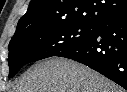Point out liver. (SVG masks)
<instances>
[{
    "label": "liver",
    "instance_id": "liver-1",
    "mask_svg": "<svg viewBox=\"0 0 127 92\" xmlns=\"http://www.w3.org/2000/svg\"><path fill=\"white\" fill-rule=\"evenodd\" d=\"M14 92H123L100 73L65 58H51L31 66Z\"/></svg>",
    "mask_w": 127,
    "mask_h": 92
}]
</instances>
